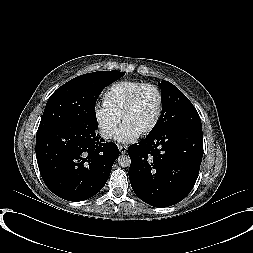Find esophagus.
<instances>
[{"instance_id": "esophagus-1", "label": "esophagus", "mask_w": 253, "mask_h": 253, "mask_svg": "<svg viewBox=\"0 0 253 253\" xmlns=\"http://www.w3.org/2000/svg\"><path fill=\"white\" fill-rule=\"evenodd\" d=\"M118 148H119V151H120L121 154H125L127 152L128 147L126 145L119 144Z\"/></svg>"}]
</instances>
